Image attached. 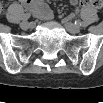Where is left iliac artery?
<instances>
[{
  "instance_id": "1",
  "label": "left iliac artery",
  "mask_w": 103,
  "mask_h": 103,
  "mask_svg": "<svg viewBox=\"0 0 103 103\" xmlns=\"http://www.w3.org/2000/svg\"><path fill=\"white\" fill-rule=\"evenodd\" d=\"M79 25L82 27H87L88 23L86 21L79 22Z\"/></svg>"
}]
</instances>
